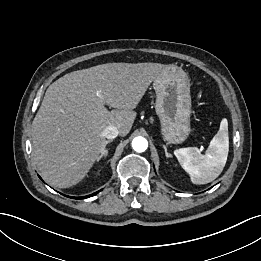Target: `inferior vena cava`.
<instances>
[{
    "label": "inferior vena cava",
    "mask_w": 261,
    "mask_h": 261,
    "mask_svg": "<svg viewBox=\"0 0 261 261\" xmlns=\"http://www.w3.org/2000/svg\"><path fill=\"white\" fill-rule=\"evenodd\" d=\"M119 130L115 126H107L103 131V136L107 139H114L118 136Z\"/></svg>",
    "instance_id": "obj_1"
}]
</instances>
